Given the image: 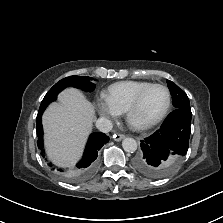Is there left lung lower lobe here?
<instances>
[{
	"mask_svg": "<svg viewBox=\"0 0 223 223\" xmlns=\"http://www.w3.org/2000/svg\"><path fill=\"white\" fill-rule=\"evenodd\" d=\"M191 115V111L175 109L159 130L141 141V152L134 159L137 171L158 179L176 169L188 150Z\"/></svg>",
	"mask_w": 223,
	"mask_h": 223,
	"instance_id": "left-lung-lower-lobe-1",
	"label": "left lung lower lobe"
}]
</instances>
